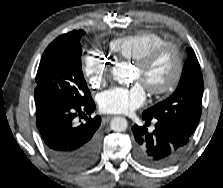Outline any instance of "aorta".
<instances>
[{
	"label": "aorta",
	"mask_w": 223,
	"mask_h": 188,
	"mask_svg": "<svg viewBox=\"0 0 223 188\" xmlns=\"http://www.w3.org/2000/svg\"><path fill=\"white\" fill-rule=\"evenodd\" d=\"M114 78L119 82H128L131 77V66L127 62L116 63L112 69ZM111 129L115 132H123L128 127V122L123 117H115L110 123Z\"/></svg>",
	"instance_id": "1"
}]
</instances>
